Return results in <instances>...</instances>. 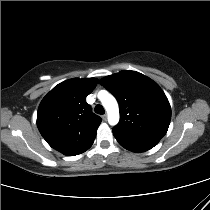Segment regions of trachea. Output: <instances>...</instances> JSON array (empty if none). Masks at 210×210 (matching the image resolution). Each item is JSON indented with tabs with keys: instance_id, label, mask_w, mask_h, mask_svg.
Wrapping results in <instances>:
<instances>
[{
	"instance_id": "1",
	"label": "trachea",
	"mask_w": 210,
	"mask_h": 210,
	"mask_svg": "<svg viewBox=\"0 0 210 210\" xmlns=\"http://www.w3.org/2000/svg\"><path fill=\"white\" fill-rule=\"evenodd\" d=\"M94 110L97 114H100V115L105 113L104 108L102 107V105H99V104L95 106Z\"/></svg>"
}]
</instances>
